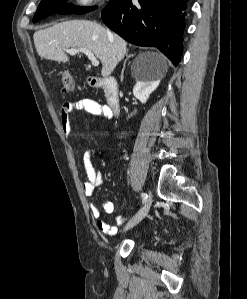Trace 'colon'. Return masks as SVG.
I'll return each instance as SVG.
<instances>
[{
	"label": "colon",
	"mask_w": 247,
	"mask_h": 299,
	"mask_svg": "<svg viewBox=\"0 0 247 299\" xmlns=\"http://www.w3.org/2000/svg\"><path fill=\"white\" fill-rule=\"evenodd\" d=\"M61 81L63 85V91L65 93L71 92L74 89V80L68 72H63L61 74Z\"/></svg>",
	"instance_id": "colon-1"
}]
</instances>
